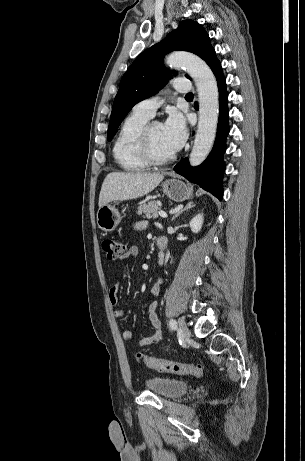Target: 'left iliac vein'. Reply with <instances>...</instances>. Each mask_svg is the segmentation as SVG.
<instances>
[{
  "mask_svg": "<svg viewBox=\"0 0 305 461\" xmlns=\"http://www.w3.org/2000/svg\"><path fill=\"white\" fill-rule=\"evenodd\" d=\"M179 325V333L182 339H188L191 336V332L187 327V324L183 318H179L178 320Z\"/></svg>",
  "mask_w": 305,
  "mask_h": 461,
  "instance_id": "1",
  "label": "left iliac vein"
}]
</instances>
